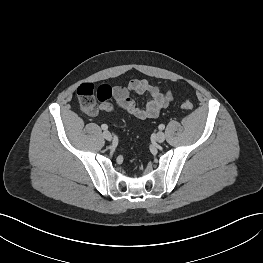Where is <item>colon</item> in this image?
I'll return each mask as SVG.
<instances>
[{
	"label": "colon",
	"instance_id": "obj_1",
	"mask_svg": "<svg viewBox=\"0 0 263 263\" xmlns=\"http://www.w3.org/2000/svg\"><path fill=\"white\" fill-rule=\"evenodd\" d=\"M79 106L86 112L92 110L96 106V101L105 102L112 96V88L103 84L95 87L91 83H82L76 91ZM183 110L189 111L193 109L190 101H184L181 104Z\"/></svg>",
	"mask_w": 263,
	"mask_h": 263
}]
</instances>
